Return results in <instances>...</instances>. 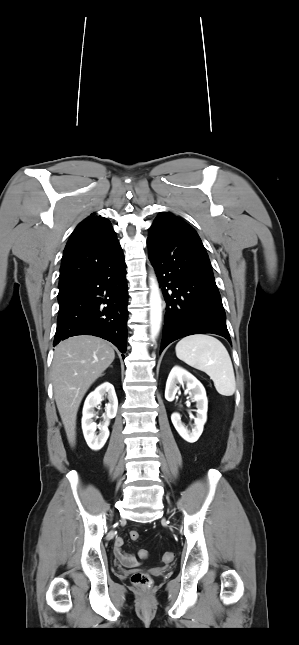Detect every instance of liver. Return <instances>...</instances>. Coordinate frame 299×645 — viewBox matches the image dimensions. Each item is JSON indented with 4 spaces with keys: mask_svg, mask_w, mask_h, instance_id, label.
<instances>
[{
    "mask_svg": "<svg viewBox=\"0 0 299 645\" xmlns=\"http://www.w3.org/2000/svg\"><path fill=\"white\" fill-rule=\"evenodd\" d=\"M114 358L111 344L95 336H74L55 347L54 397L71 446L75 445L76 417L82 398Z\"/></svg>",
    "mask_w": 299,
    "mask_h": 645,
    "instance_id": "liver-1",
    "label": "liver"
}]
</instances>
